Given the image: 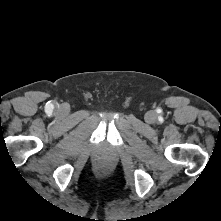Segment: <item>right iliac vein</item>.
<instances>
[{"label":"right iliac vein","instance_id":"63e3f726","mask_svg":"<svg viewBox=\"0 0 221 221\" xmlns=\"http://www.w3.org/2000/svg\"><path fill=\"white\" fill-rule=\"evenodd\" d=\"M68 112H69V110H68V107H67L66 105H62V106L60 107L59 113H60L61 115H67Z\"/></svg>","mask_w":221,"mask_h":221}]
</instances>
